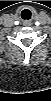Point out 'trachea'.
<instances>
[{"label":"trachea","instance_id":"trachea-1","mask_svg":"<svg viewBox=\"0 0 51 101\" xmlns=\"http://www.w3.org/2000/svg\"><path fill=\"white\" fill-rule=\"evenodd\" d=\"M28 15L29 16V18H30V15H31V12L29 11V10H27V9H25V10H23V12H22V17H24L25 15Z\"/></svg>","mask_w":51,"mask_h":101}]
</instances>
